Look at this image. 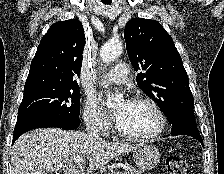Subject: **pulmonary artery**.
Instances as JSON below:
<instances>
[{
  "label": "pulmonary artery",
  "instance_id": "obj_1",
  "mask_svg": "<svg viewBox=\"0 0 224 174\" xmlns=\"http://www.w3.org/2000/svg\"><path fill=\"white\" fill-rule=\"evenodd\" d=\"M104 80L108 83L122 85L128 81V68L126 64L120 63L115 66L104 77Z\"/></svg>",
  "mask_w": 224,
  "mask_h": 174
}]
</instances>
